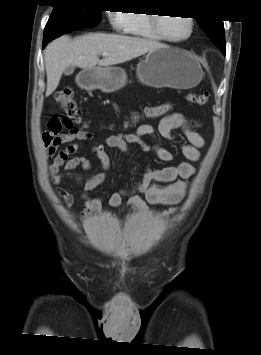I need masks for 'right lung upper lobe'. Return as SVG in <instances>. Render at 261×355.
Returning <instances> with one entry per match:
<instances>
[{"label":"right lung upper lobe","mask_w":261,"mask_h":355,"mask_svg":"<svg viewBox=\"0 0 261 355\" xmlns=\"http://www.w3.org/2000/svg\"><path fill=\"white\" fill-rule=\"evenodd\" d=\"M56 3H60V2H64V1H67V0H54Z\"/></svg>","instance_id":"right-lung-upper-lobe-1"}]
</instances>
